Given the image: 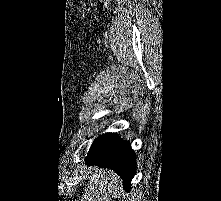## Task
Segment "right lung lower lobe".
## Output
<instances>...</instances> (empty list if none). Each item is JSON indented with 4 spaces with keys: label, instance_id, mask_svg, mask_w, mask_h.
I'll use <instances>...</instances> for the list:
<instances>
[{
    "label": "right lung lower lobe",
    "instance_id": "1",
    "mask_svg": "<svg viewBox=\"0 0 221 201\" xmlns=\"http://www.w3.org/2000/svg\"><path fill=\"white\" fill-rule=\"evenodd\" d=\"M86 163L110 168L123 179L126 191L136 171V156L130 144L121 140L117 134L105 133L92 144L86 157Z\"/></svg>",
    "mask_w": 221,
    "mask_h": 201
}]
</instances>
